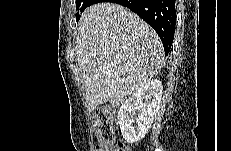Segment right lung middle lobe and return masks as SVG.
<instances>
[{
  "label": "right lung middle lobe",
  "mask_w": 231,
  "mask_h": 151,
  "mask_svg": "<svg viewBox=\"0 0 231 151\" xmlns=\"http://www.w3.org/2000/svg\"><path fill=\"white\" fill-rule=\"evenodd\" d=\"M92 0H77L76 1V10L78 13L76 14L77 20L80 19V13H82L88 6L92 5Z\"/></svg>",
  "instance_id": "1"
}]
</instances>
